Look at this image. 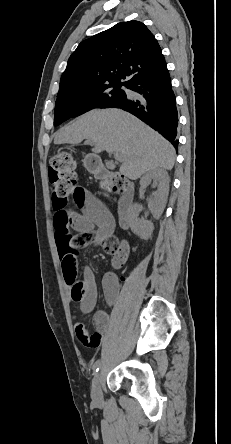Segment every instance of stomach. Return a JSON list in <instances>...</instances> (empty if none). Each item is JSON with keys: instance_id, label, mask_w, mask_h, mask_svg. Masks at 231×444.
I'll use <instances>...</instances> for the list:
<instances>
[{"instance_id": "obj_1", "label": "stomach", "mask_w": 231, "mask_h": 444, "mask_svg": "<svg viewBox=\"0 0 231 444\" xmlns=\"http://www.w3.org/2000/svg\"><path fill=\"white\" fill-rule=\"evenodd\" d=\"M84 165L86 169L91 173L98 172L102 167L100 159L95 155L86 156L84 160Z\"/></svg>"}]
</instances>
